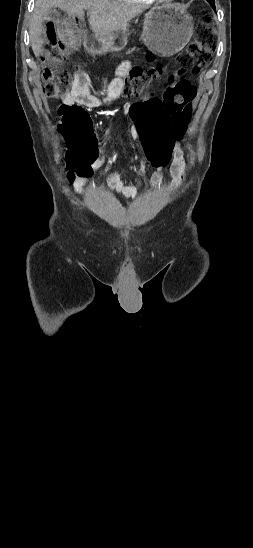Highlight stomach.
<instances>
[{
	"instance_id": "obj_1",
	"label": "stomach",
	"mask_w": 253,
	"mask_h": 548,
	"mask_svg": "<svg viewBox=\"0 0 253 548\" xmlns=\"http://www.w3.org/2000/svg\"><path fill=\"white\" fill-rule=\"evenodd\" d=\"M193 34L192 17L174 5L153 7L145 14L142 39L145 45L161 56H172L185 47ZM127 29L112 37L93 36L88 50L97 55L118 52L128 42Z\"/></svg>"
}]
</instances>
